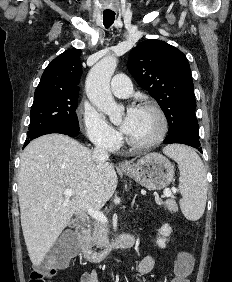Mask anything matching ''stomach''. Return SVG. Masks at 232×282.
I'll return each mask as SVG.
<instances>
[{
	"label": "stomach",
	"mask_w": 232,
	"mask_h": 282,
	"mask_svg": "<svg viewBox=\"0 0 232 282\" xmlns=\"http://www.w3.org/2000/svg\"><path fill=\"white\" fill-rule=\"evenodd\" d=\"M123 172L149 190H161L174 179V166L163 155L149 153Z\"/></svg>",
	"instance_id": "1"
}]
</instances>
